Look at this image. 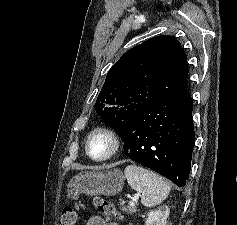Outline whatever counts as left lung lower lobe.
<instances>
[{"label":"left lung lower lobe","mask_w":237,"mask_h":225,"mask_svg":"<svg viewBox=\"0 0 237 225\" xmlns=\"http://www.w3.org/2000/svg\"><path fill=\"white\" fill-rule=\"evenodd\" d=\"M125 154L178 186L189 177L195 141L188 89L136 116L121 132Z\"/></svg>","instance_id":"1"}]
</instances>
